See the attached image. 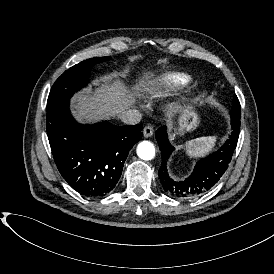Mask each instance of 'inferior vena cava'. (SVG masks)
<instances>
[{"label": "inferior vena cava", "instance_id": "602c4592", "mask_svg": "<svg viewBox=\"0 0 274 274\" xmlns=\"http://www.w3.org/2000/svg\"><path fill=\"white\" fill-rule=\"evenodd\" d=\"M118 118L125 124L134 125L141 121L142 115L138 110L130 109L120 113Z\"/></svg>", "mask_w": 274, "mask_h": 274}]
</instances>
